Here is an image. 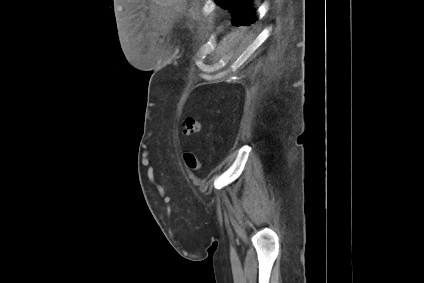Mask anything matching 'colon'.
I'll return each instance as SVG.
<instances>
[{"mask_svg":"<svg viewBox=\"0 0 424 283\" xmlns=\"http://www.w3.org/2000/svg\"><path fill=\"white\" fill-rule=\"evenodd\" d=\"M201 123L200 120L196 117H187L182 122V130L185 135H193L200 131ZM184 162L186 166L191 170H198L201 167V162L197 157L187 152L184 154Z\"/></svg>","mask_w":424,"mask_h":283,"instance_id":"colon-1","label":"colon"}]
</instances>
